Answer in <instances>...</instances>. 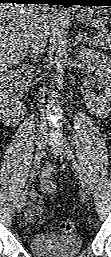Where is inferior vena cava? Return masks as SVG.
<instances>
[{"label":"inferior vena cava","instance_id":"1","mask_svg":"<svg viewBox=\"0 0 111 257\" xmlns=\"http://www.w3.org/2000/svg\"><path fill=\"white\" fill-rule=\"evenodd\" d=\"M47 38H48V28L46 26H43L40 24V22L38 23V26L32 36V40H31V45L30 47L32 48V52L35 54L36 58H40L41 54L44 52V49L47 45ZM45 88L43 87L41 89L42 92V96L41 97H45ZM44 103V99L41 100ZM44 110L42 109V112ZM42 124L41 127H46L47 123L45 120L44 115L42 114Z\"/></svg>","mask_w":111,"mask_h":257}]
</instances>
